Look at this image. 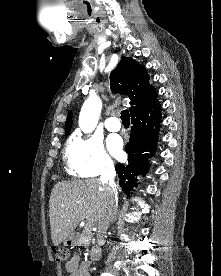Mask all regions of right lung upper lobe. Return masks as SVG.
Here are the masks:
<instances>
[{
	"instance_id": "cb5924a9",
	"label": "right lung upper lobe",
	"mask_w": 221,
	"mask_h": 276,
	"mask_svg": "<svg viewBox=\"0 0 221 276\" xmlns=\"http://www.w3.org/2000/svg\"><path fill=\"white\" fill-rule=\"evenodd\" d=\"M111 90L128 96L131 100L130 114H137L149 106L155 104L157 93L155 88L149 84V75L144 67L135 60L122 57L120 63L110 74ZM72 113L69 112L66 121V134L72 126Z\"/></svg>"
}]
</instances>
